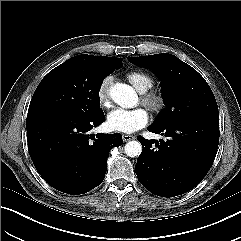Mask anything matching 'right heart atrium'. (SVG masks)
Segmentation results:
<instances>
[{"label": "right heart atrium", "instance_id": "1", "mask_svg": "<svg viewBox=\"0 0 241 241\" xmlns=\"http://www.w3.org/2000/svg\"><path fill=\"white\" fill-rule=\"evenodd\" d=\"M111 82H112L111 77L109 76L105 77L99 84V87L97 90V99L99 104L103 108H109L111 106L110 94H109Z\"/></svg>", "mask_w": 241, "mask_h": 241}]
</instances>
